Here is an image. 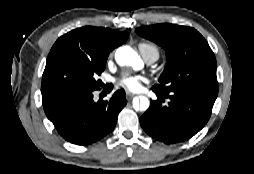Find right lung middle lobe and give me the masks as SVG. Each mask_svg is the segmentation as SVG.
Listing matches in <instances>:
<instances>
[{"label": "right lung middle lobe", "mask_w": 254, "mask_h": 174, "mask_svg": "<svg viewBox=\"0 0 254 174\" xmlns=\"http://www.w3.org/2000/svg\"><path fill=\"white\" fill-rule=\"evenodd\" d=\"M106 60H94L68 48H62L48 55L42 77V98L79 90H96Z\"/></svg>", "instance_id": "obj_1"}]
</instances>
